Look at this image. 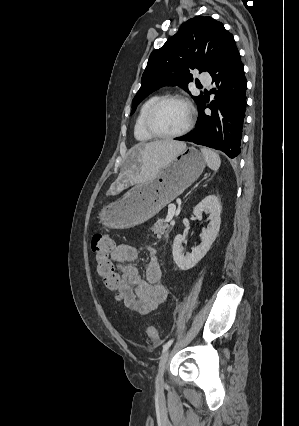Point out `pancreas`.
Segmentation results:
<instances>
[{
	"label": "pancreas",
	"mask_w": 299,
	"mask_h": 426,
	"mask_svg": "<svg viewBox=\"0 0 299 426\" xmlns=\"http://www.w3.org/2000/svg\"><path fill=\"white\" fill-rule=\"evenodd\" d=\"M171 229L172 227L163 223V220H158L152 227V231L157 235L158 238H161L162 235L168 236Z\"/></svg>",
	"instance_id": "1"
}]
</instances>
